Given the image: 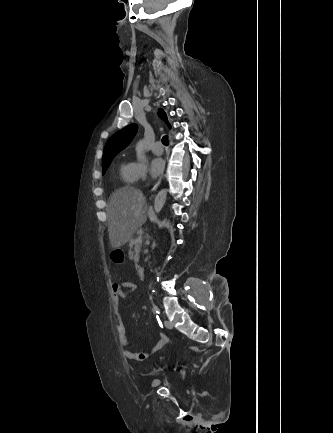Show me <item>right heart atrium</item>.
I'll use <instances>...</instances> for the list:
<instances>
[{
	"label": "right heart atrium",
	"mask_w": 333,
	"mask_h": 433,
	"mask_svg": "<svg viewBox=\"0 0 333 433\" xmlns=\"http://www.w3.org/2000/svg\"><path fill=\"white\" fill-rule=\"evenodd\" d=\"M131 166L136 180H142L148 176V166L146 162L135 161L131 163Z\"/></svg>",
	"instance_id": "obj_1"
}]
</instances>
